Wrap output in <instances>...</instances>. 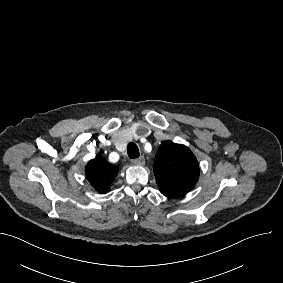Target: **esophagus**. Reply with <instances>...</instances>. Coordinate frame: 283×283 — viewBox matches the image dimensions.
I'll use <instances>...</instances> for the list:
<instances>
[{
  "label": "esophagus",
  "instance_id": "esophagus-1",
  "mask_svg": "<svg viewBox=\"0 0 283 283\" xmlns=\"http://www.w3.org/2000/svg\"><path fill=\"white\" fill-rule=\"evenodd\" d=\"M131 163L135 166H143L145 164V158L141 156L137 159H132Z\"/></svg>",
  "mask_w": 283,
  "mask_h": 283
}]
</instances>
